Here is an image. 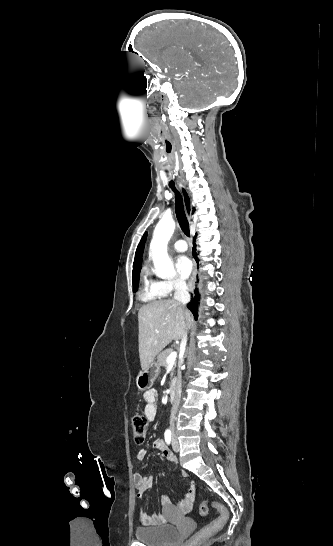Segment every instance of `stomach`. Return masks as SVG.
I'll use <instances>...</instances> for the list:
<instances>
[{"instance_id":"stomach-1","label":"stomach","mask_w":333,"mask_h":546,"mask_svg":"<svg viewBox=\"0 0 333 546\" xmlns=\"http://www.w3.org/2000/svg\"><path fill=\"white\" fill-rule=\"evenodd\" d=\"M159 373L160 365L158 362H152L148 368L139 372L136 377V386L139 390L151 388Z\"/></svg>"}]
</instances>
